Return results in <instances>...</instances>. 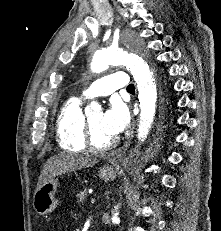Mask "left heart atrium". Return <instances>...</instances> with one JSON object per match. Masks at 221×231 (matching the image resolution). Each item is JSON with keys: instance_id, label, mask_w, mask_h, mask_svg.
I'll return each mask as SVG.
<instances>
[{"instance_id": "left-heart-atrium-1", "label": "left heart atrium", "mask_w": 221, "mask_h": 231, "mask_svg": "<svg viewBox=\"0 0 221 231\" xmlns=\"http://www.w3.org/2000/svg\"><path fill=\"white\" fill-rule=\"evenodd\" d=\"M128 124V114L125 108L120 104H112L110 108L103 113L102 127L110 135L116 137L121 134Z\"/></svg>"}]
</instances>
